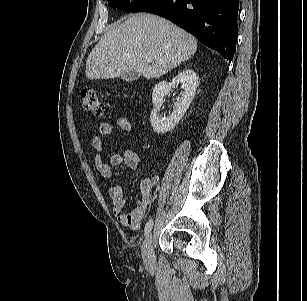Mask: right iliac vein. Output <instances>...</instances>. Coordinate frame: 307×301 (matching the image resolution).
I'll list each match as a JSON object with an SVG mask.
<instances>
[{
  "mask_svg": "<svg viewBox=\"0 0 307 301\" xmlns=\"http://www.w3.org/2000/svg\"><path fill=\"white\" fill-rule=\"evenodd\" d=\"M142 258L147 267H153L155 265V255L153 251V235L148 234L142 246Z\"/></svg>",
  "mask_w": 307,
  "mask_h": 301,
  "instance_id": "right-iliac-vein-1",
  "label": "right iliac vein"
}]
</instances>
